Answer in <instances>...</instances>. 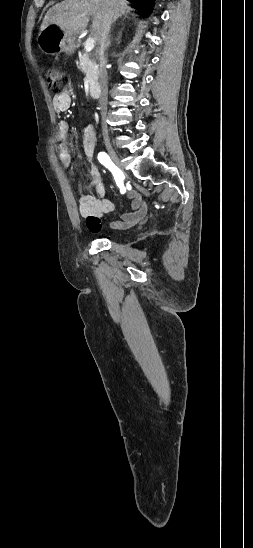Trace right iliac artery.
I'll return each mask as SVG.
<instances>
[{
  "label": "right iliac artery",
  "instance_id": "obj_1",
  "mask_svg": "<svg viewBox=\"0 0 253 548\" xmlns=\"http://www.w3.org/2000/svg\"><path fill=\"white\" fill-rule=\"evenodd\" d=\"M98 160L112 172L117 185L121 188V193H124L125 189L123 187V174L121 170L114 165L110 157L105 152H100L98 154Z\"/></svg>",
  "mask_w": 253,
  "mask_h": 548
}]
</instances>
